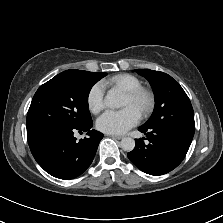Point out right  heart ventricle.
Wrapping results in <instances>:
<instances>
[{
	"instance_id": "right-heart-ventricle-1",
	"label": "right heart ventricle",
	"mask_w": 223,
	"mask_h": 223,
	"mask_svg": "<svg viewBox=\"0 0 223 223\" xmlns=\"http://www.w3.org/2000/svg\"><path fill=\"white\" fill-rule=\"evenodd\" d=\"M105 84L108 86H119L125 93L133 92L142 88V82L137 77L130 74L117 75L106 80Z\"/></svg>"
}]
</instances>
